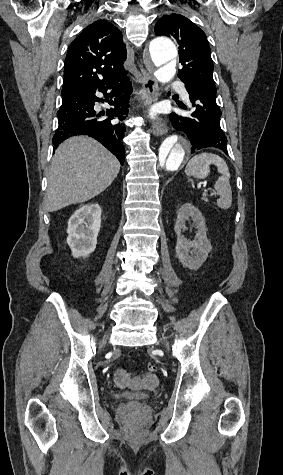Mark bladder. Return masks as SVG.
I'll use <instances>...</instances> for the list:
<instances>
[{
  "instance_id": "obj_1",
  "label": "bladder",
  "mask_w": 283,
  "mask_h": 475,
  "mask_svg": "<svg viewBox=\"0 0 283 475\" xmlns=\"http://www.w3.org/2000/svg\"><path fill=\"white\" fill-rule=\"evenodd\" d=\"M114 396L120 400L124 401V404H127L128 406H142L147 403L150 398L148 396H136L133 393H118L114 394Z\"/></svg>"
}]
</instances>
